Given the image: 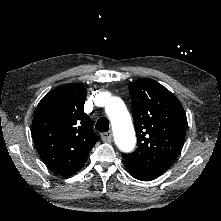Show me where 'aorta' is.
<instances>
[{
  "mask_svg": "<svg viewBox=\"0 0 221 221\" xmlns=\"http://www.w3.org/2000/svg\"><path fill=\"white\" fill-rule=\"evenodd\" d=\"M105 111L111 120L116 145L123 152H131L135 147L136 137L124 102L118 97H113L106 105Z\"/></svg>",
  "mask_w": 221,
  "mask_h": 221,
  "instance_id": "1",
  "label": "aorta"
}]
</instances>
